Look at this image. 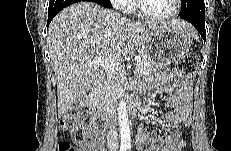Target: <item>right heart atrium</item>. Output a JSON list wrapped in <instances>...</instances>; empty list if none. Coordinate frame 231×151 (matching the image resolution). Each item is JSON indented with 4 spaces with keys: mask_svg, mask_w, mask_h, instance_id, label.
<instances>
[{
    "mask_svg": "<svg viewBox=\"0 0 231 151\" xmlns=\"http://www.w3.org/2000/svg\"><path fill=\"white\" fill-rule=\"evenodd\" d=\"M113 5L122 12L130 11V1L128 0H113Z\"/></svg>",
    "mask_w": 231,
    "mask_h": 151,
    "instance_id": "right-heart-atrium-1",
    "label": "right heart atrium"
}]
</instances>
